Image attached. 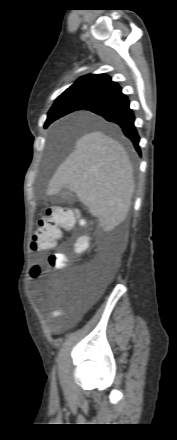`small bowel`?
I'll use <instances>...</instances> for the list:
<instances>
[{
    "instance_id": "c3829d8e",
    "label": "small bowel",
    "mask_w": 177,
    "mask_h": 440,
    "mask_svg": "<svg viewBox=\"0 0 177 440\" xmlns=\"http://www.w3.org/2000/svg\"><path fill=\"white\" fill-rule=\"evenodd\" d=\"M66 313L65 308H56L52 310L48 316L49 319H56Z\"/></svg>"
}]
</instances>
